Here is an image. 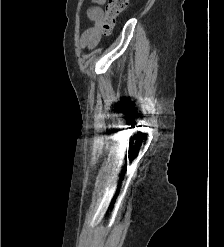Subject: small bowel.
Listing matches in <instances>:
<instances>
[{
	"label": "small bowel",
	"mask_w": 224,
	"mask_h": 247,
	"mask_svg": "<svg viewBox=\"0 0 224 247\" xmlns=\"http://www.w3.org/2000/svg\"><path fill=\"white\" fill-rule=\"evenodd\" d=\"M103 3L105 0H96ZM102 10L100 7H94L89 10L88 17L93 22V26L87 29L82 35V45L89 49L94 48L100 40V24L102 21Z\"/></svg>",
	"instance_id": "small-bowel-1"
}]
</instances>
